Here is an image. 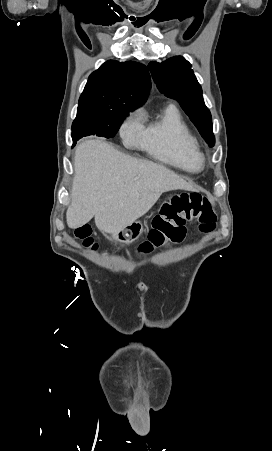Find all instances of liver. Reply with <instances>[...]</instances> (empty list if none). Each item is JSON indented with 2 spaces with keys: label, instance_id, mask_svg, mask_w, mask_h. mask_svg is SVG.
Masks as SVG:
<instances>
[{
  "label": "liver",
  "instance_id": "1",
  "mask_svg": "<svg viewBox=\"0 0 272 451\" xmlns=\"http://www.w3.org/2000/svg\"><path fill=\"white\" fill-rule=\"evenodd\" d=\"M68 227H80L95 216L100 231L115 233L144 216L163 192L193 190L165 166L138 160L108 142L86 140L76 148Z\"/></svg>",
  "mask_w": 272,
  "mask_h": 451
}]
</instances>
